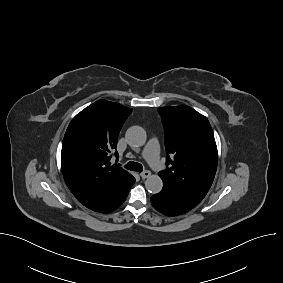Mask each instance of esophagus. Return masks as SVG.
<instances>
[{
  "mask_svg": "<svg viewBox=\"0 0 283 283\" xmlns=\"http://www.w3.org/2000/svg\"><path fill=\"white\" fill-rule=\"evenodd\" d=\"M150 175H151V172L148 171V170L143 171L142 173H140V176H141L142 179L148 178V177H150Z\"/></svg>",
  "mask_w": 283,
  "mask_h": 283,
  "instance_id": "obj_1",
  "label": "esophagus"
}]
</instances>
